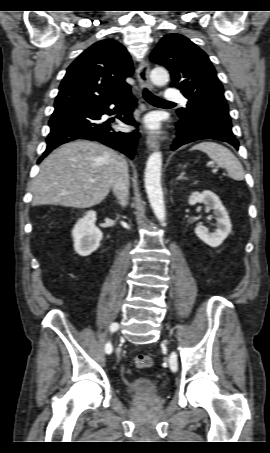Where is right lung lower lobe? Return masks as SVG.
I'll list each match as a JSON object with an SVG mask.
<instances>
[{
    "label": "right lung lower lobe",
    "mask_w": 270,
    "mask_h": 453,
    "mask_svg": "<svg viewBox=\"0 0 270 453\" xmlns=\"http://www.w3.org/2000/svg\"><path fill=\"white\" fill-rule=\"evenodd\" d=\"M111 104L116 105L117 117L121 121L126 124L136 125L132 117L136 99L131 95L130 90L110 101L55 109L49 121L51 130L46 139L47 148L38 163L54 148L76 139L101 142L121 151L132 159L135 154L139 133L136 131L131 133L119 132L113 129L108 121H101L103 114L112 115L114 113L109 108Z\"/></svg>",
    "instance_id": "right-lung-lower-lobe-1"
}]
</instances>
